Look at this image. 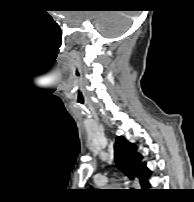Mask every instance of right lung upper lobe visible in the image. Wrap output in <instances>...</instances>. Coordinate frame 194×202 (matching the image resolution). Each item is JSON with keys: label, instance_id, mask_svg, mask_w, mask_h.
<instances>
[{"label": "right lung upper lobe", "instance_id": "obj_1", "mask_svg": "<svg viewBox=\"0 0 194 202\" xmlns=\"http://www.w3.org/2000/svg\"><path fill=\"white\" fill-rule=\"evenodd\" d=\"M114 150L117 165L131 179L137 177L142 189H147L149 187L147 178L150 176V170L145 163H140L142 156L137 153V147L124 137H117Z\"/></svg>", "mask_w": 194, "mask_h": 202}]
</instances>
